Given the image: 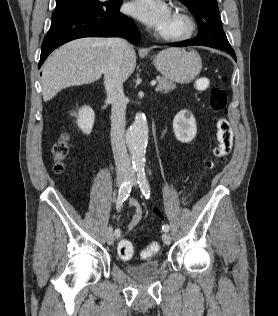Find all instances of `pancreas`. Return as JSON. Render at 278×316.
<instances>
[{
  "label": "pancreas",
  "instance_id": "obj_1",
  "mask_svg": "<svg viewBox=\"0 0 278 316\" xmlns=\"http://www.w3.org/2000/svg\"><path fill=\"white\" fill-rule=\"evenodd\" d=\"M158 85L156 87V91L160 93H168L169 91L175 89L176 85L172 82L169 81L168 79L164 77H158L157 78Z\"/></svg>",
  "mask_w": 278,
  "mask_h": 316
}]
</instances>
